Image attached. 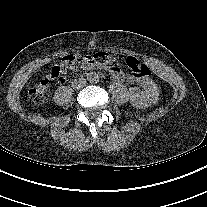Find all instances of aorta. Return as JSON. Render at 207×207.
Masks as SVG:
<instances>
[{
	"label": "aorta",
	"mask_w": 207,
	"mask_h": 207,
	"mask_svg": "<svg viewBox=\"0 0 207 207\" xmlns=\"http://www.w3.org/2000/svg\"><path fill=\"white\" fill-rule=\"evenodd\" d=\"M98 79H99V77H98V75L95 74V73H91V74L89 75V81H90L91 83H96V82L98 81Z\"/></svg>",
	"instance_id": "obj_1"
}]
</instances>
